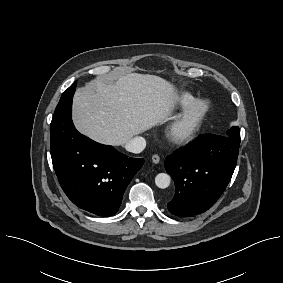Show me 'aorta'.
Masks as SVG:
<instances>
[{
  "label": "aorta",
  "mask_w": 283,
  "mask_h": 283,
  "mask_svg": "<svg viewBox=\"0 0 283 283\" xmlns=\"http://www.w3.org/2000/svg\"><path fill=\"white\" fill-rule=\"evenodd\" d=\"M171 177L167 173H159L155 177V184L161 189H165L170 185Z\"/></svg>",
  "instance_id": "1"
}]
</instances>
